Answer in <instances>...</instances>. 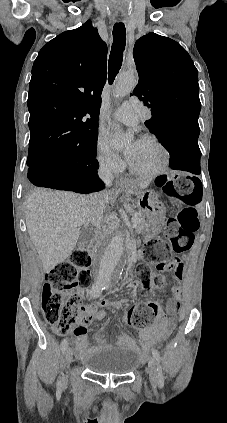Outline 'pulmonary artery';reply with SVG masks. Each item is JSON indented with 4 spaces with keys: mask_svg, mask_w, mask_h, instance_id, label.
Segmentation results:
<instances>
[{
    "mask_svg": "<svg viewBox=\"0 0 227 423\" xmlns=\"http://www.w3.org/2000/svg\"><path fill=\"white\" fill-rule=\"evenodd\" d=\"M113 117L127 126H135L139 120H151V111H138L134 101H125L113 114Z\"/></svg>",
    "mask_w": 227,
    "mask_h": 423,
    "instance_id": "pulmonary-artery-1",
    "label": "pulmonary artery"
}]
</instances>
